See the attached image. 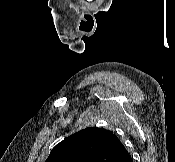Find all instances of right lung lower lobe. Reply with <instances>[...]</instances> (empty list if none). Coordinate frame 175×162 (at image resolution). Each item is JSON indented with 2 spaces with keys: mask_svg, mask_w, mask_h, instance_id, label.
Here are the masks:
<instances>
[{
  "mask_svg": "<svg viewBox=\"0 0 175 162\" xmlns=\"http://www.w3.org/2000/svg\"><path fill=\"white\" fill-rule=\"evenodd\" d=\"M117 162H133V160L129 154H126L125 156L120 158V160H118Z\"/></svg>",
  "mask_w": 175,
  "mask_h": 162,
  "instance_id": "obj_1",
  "label": "right lung lower lobe"
}]
</instances>
